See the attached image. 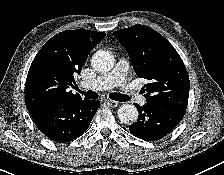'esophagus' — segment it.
I'll return each mask as SVG.
<instances>
[{"mask_svg": "<svg viewBox=\"0 0 224 175\" xmlns=\"http://www.w3.org/2000/svg\"><path fill=\"white\" fill-rule=\"evenodd\" d=\"M105 102L111 107H117L119 105L118 101L106 99Z\"/></svg>", "mask_w": 224, "mask_h": 175, "instance_id": "esophagus-1", "label": "esophagus"}]
</instances>
